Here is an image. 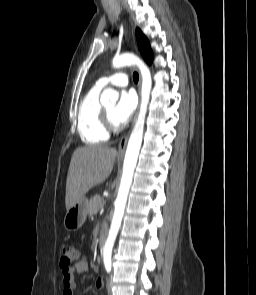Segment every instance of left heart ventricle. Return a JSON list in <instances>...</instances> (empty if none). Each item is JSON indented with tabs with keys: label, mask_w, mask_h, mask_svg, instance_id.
Instances as JSON below:
<instances>
[{
	"label": "left heart ventricle",
	"mask_w": 256,
	"mask_h": 295,
	"mask_svg": "<svg viewBox=\"0 0 256 295\" xmlns=\"http://www.w3.org/2000/svg\"><path fill=\"white\" fill-rule=\"evenodd\" d=\"M105 108H106L107 112L109 113L111 119L113 120L115 105H108V106H105Z\"/></svg>",
	"instance_id": "1"
}]
</instances>
